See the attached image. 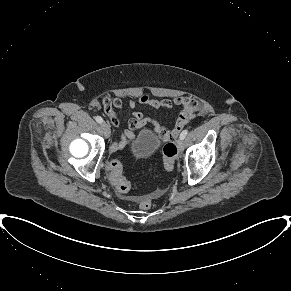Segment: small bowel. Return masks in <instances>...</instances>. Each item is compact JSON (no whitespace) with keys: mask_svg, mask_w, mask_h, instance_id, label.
Masks as SVG:
<instances>
[{"mask_svg":"<svg viewBox=\"0 0 291 291\" xmlns=\"http://www.w3.org/2000/svg\"><path fill=\"white\" fill-rule=\"evenodd\" d=\"M142 104L150 106L157 110H170L174 106L180 107L181 111L175 121L174 127L168 129L164 127L160 122L150 117L145 116L139 111H135L137 104ZM103 110L109 120L113 125H119V119L115 110H119L123 107V102L120 98H109L104 97L102 99ZM128 106L132 111L131 117L128 120L127 128L122 132L120 139L114 141L110 146V152L114 153L122 150L128 141L135 138L134 131L141 129L147 123H152L154 132L159 134L164 141H171L178 137L181 129H183L196 115L200 110L199 102L189 96H182L176 99H155L151 98L146 94H140L137 99H131L128 102Z\"/></svg>","mask_w":291,"mask_h":291,"instance_id":"1","label":"small bowel"}]
</instances>
